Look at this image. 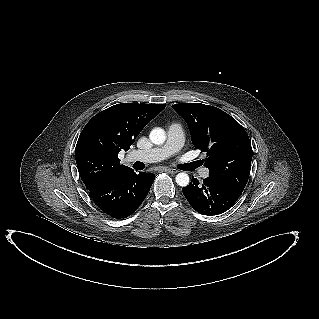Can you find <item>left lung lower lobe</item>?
Returning <instances> with one entry per match:
<instances>
[{
  "mask_svg": "<svg viewBox=\"0 0 319 319\" xmlns=\"http://www.w3.org/2000/svg\"><path fill=\"white\" fill-rule=\"evenodd\" d=\"M182 191L194 210L203 215L227 211L243 192L236 186L213 176L204 179L202 185L194 178Z\"/></svg>",
  "mask_w": 319,
  "mask_h": 319,
  "instance_id": "left-lung-lower-lobe-1",
  "label": "left lung lower lobe"
}]
</instances>
